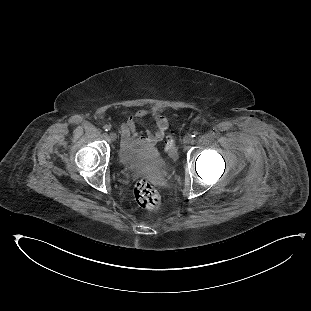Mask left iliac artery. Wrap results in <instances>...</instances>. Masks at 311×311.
Here are the masks:
<instances>
[{
  "label": "left iliac artery",
  "mask_w": 311,
  "mask_h": 311,
  "mask_svg": "<svg viewBox=\"0 0 311 311\" xmlns=\"http://www.w3.org/2000/svg\"><path fill=\"white\" fill-rule=\"evenodd\" d=\"M197 135H198L197 131H193L192 134H191L192 137H196Z\"/></svg>",
  "instance_id": "obj_1"
}]
</instances>
